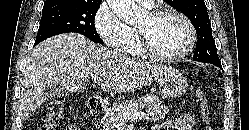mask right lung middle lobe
Masks as SVG:
<instances>
[{
    "instance_id": "dd1d6c3e",
    "label": "right lung middle lobe",
    "mask_w": 249,
    "mask_h": 130,
    "mask_svg": "<svg viewBox=\"0 0 249 130\" xmlns=\"http://www.w3.org/2000/svg\"><path fill=\"white\" fill-rule=\"evenodd\" d=\"M101 3L57 1L45 4L35 45L62 33H79L95 43L103 44L95 25V14Z\"/></svg>"
}]
</instances>
